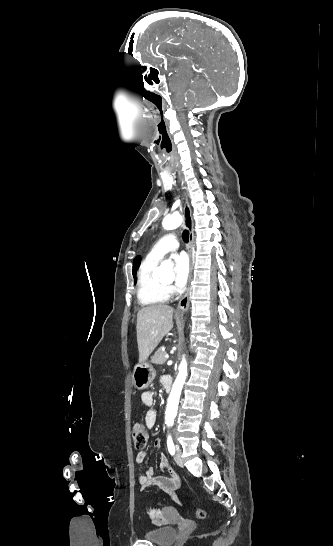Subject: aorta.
<instances>
[{"instance_id": "aorta-1", "label": "aorta", "mask_w": 333, "mask_h": 546, "mask_svg": "<svg viewBox=\"0 0 333 546\" xmlns=\"http://www.w3.org/2000/svg\"><path fill=\"white\" fill-rule=\"evenodd\" d=\"M182 216L179 213H173L166 216L163 219L162 226L166 230H172L178 228L182 224ZM159 277H169L174 278L173 272V263L171 261H163L159 268L157 269ZM187 377V362L185 357L182 358V361L179 365V372L173 384L170 396L168 398L167 408L165 412L166 424L172 426L174 419L177 415L179 398L183 385Z\"/></svg>"}]
</instances>
